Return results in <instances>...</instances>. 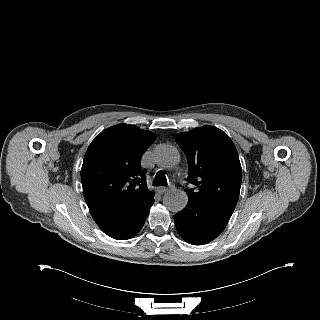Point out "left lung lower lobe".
<instances>
[{
    "mask_svg": "<svg viewBox=\"0 0 320 320\" xmlns=\"http://www.w3.org/2000/svg\"><path fill=\"white\" fill-rule=\"evenodd\" d=\"M230 215L212 205L188 198L183 210L174 216L178 233L192 245L214 240L226 227Z\"/></svg>",
    "mask_w": 320,
    "mask_h": 320,
    "instance_id": "left-lung-lower-lobe-1",
    "label": "left lung lower lobe"
}]
</instances>
